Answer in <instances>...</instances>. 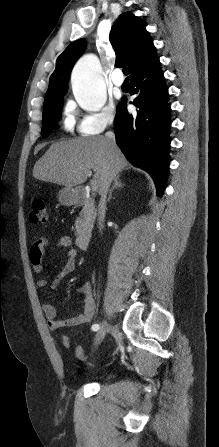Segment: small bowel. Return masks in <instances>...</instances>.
Returning a JSON list of instances; mask_svg holds the SVG:
<instances>
[{
  "label": "small bowel",
  "instance_id": "obj_1",
  "mask_svg": "<svg viewBox=\"0 0 219 447\" xmlns=\"http://www.w3.org/2000/svg\"><path fill=\"white\" fill-rule=\"evenodd\" d=\"M49 245V241L46 237L38 238L31 246V263L33 266V271L37 274L44 272L46 266L43 260V255L45 249ZM56 247L61 250H67L66 262L61 267V269L55 274L52 288L56 289L60 282L69 274L73 273L75 270V260L77 258L78 252L72 247V239L70 237H62L56 243ZM47 286V281L45 279H39L36 282V287L39 290L44 289ZM77 294L83 298V312L74 317L68 318L66 320L57 319L56 308L51 304H45L43 306V311L47 319V324L50 330L56 331L63 327H77L87 323H90L95 314V301L92 294L91 286L88 282L83 283L76 289ZM62 343L65 347L71 346V340L69 336L63 335L61 337ZM75 355L79 359H84V351L81 347L75 349Z\"/></svg>",
  "mask_w": 219,
  "mask_h": 447
}]
</instances>
